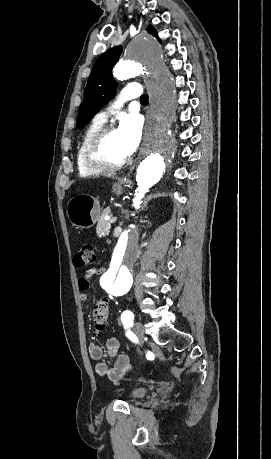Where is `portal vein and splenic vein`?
<instances>
[{
    "label": "portal vein and splenic vein",
    "instance_id": "1",
    "mask_svg": "<svg viewBox=\"0 0 271 459\" xmlns=\"http://www.w3.org/2000/svg\"><path fill=\"white\" fill-rule=\"evenodd\" d=\"M116 218V216H113L112 220H110L111 224H115V221L117 220Z\"/></svg>",
    "mask_w": 271,
    "mask_h": 459
}]
</instances>
